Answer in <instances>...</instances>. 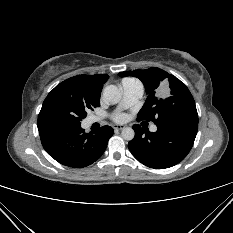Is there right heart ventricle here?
I'll list each match as a JSON object with an SVG mask.
<instances>
[{
	"label": "right heart ventricle",
	"instance_id": "1",
	"mask_svg": "<svg viewBox=\"0 0 233 233\" xmlns=\"http://www.w3.org/2000/svg\"><path fill=\"white\" fill-rule=\"evenodd\" d=\"M129 80H133V79H124L123 81H129Z\"/></svg>",
	"mask_w": 233,
	"mask_h": 233
}]
</instances>
